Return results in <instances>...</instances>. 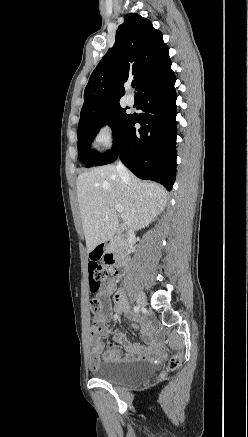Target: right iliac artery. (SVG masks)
Listing matches in <instances>:
<instances>
[{
    "label": "right iliac artery",
    "instance_id": "82829eb1",
    "mask_svg": "<svg viewBox=\"0 0 248 437\" xmlns=\"http://www.w3.org/2000/svg\"><path fill=\"white\" fill-rule=\"evenodd\" d=\"M138 311H139V307H138V306H135V307H134V312L137 313Z\"/></svg>",
    "mask_w": 248,
    "mask_h": 437
}]
</instances>
